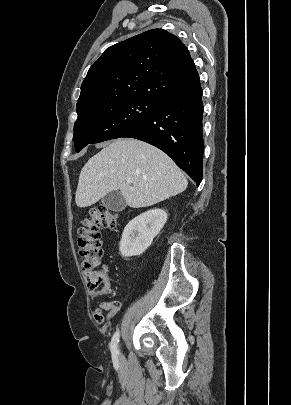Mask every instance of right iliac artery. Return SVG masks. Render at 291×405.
<instances>
[{"label": "right iliac artery", "mask_w": 291, "mask_h": 405, "mask_svg": "<svg viewBox=\"0 0 291 405\" xmlns=\"http://www.w3.org/2000/svg\"><path fill=\"white\" fill-rule=\"evenodd\" d=\"M119 336H120L119 331H116L114 333L111 343H110L111 353L114 358H117L119 355V350H118Z\"/></svg>", "instance_id": "right-iliac-artery-1"}]
</instances>
